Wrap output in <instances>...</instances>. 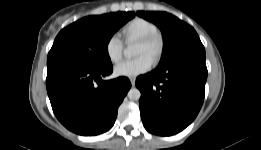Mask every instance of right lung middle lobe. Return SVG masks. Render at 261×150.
Here are the masks:
<instances>
[{"instance_id": "dd1d6c3e", "label": "right lung middle lobe", "mask_w": 261, "mask_h": 150, "mask_svg": "<svg viewBox=\"0 0 261 150\" xmlns=\"http://www.w3.org/2000/svg\"><path fill=\"white\" fill-rule=\"evenodd\" d=\"M134 16V12L88 16L65 27L48 54L47 67L69 64L101 68L111 65L108 43L113 34Z\"/></svg>"}]
</instances>
